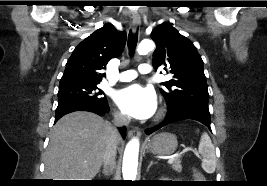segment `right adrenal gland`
Segmentation results:
<instances>
[{
    "label": "right adrenal gland",
    "mask_w": 267,
    "mask_h": 186,
    "mask_svg": "<svg viewBox=\"0 0 267 186\" xmlns=\"http://www.w3.org/2000/svg\"><path fill=\"white\" fill-rule=\"evenodd\" d=\"M109 173H111V172H109ZM109 173H106V171H103V174L104 175H109Z\"/></svg>",
    "instance_id": "2a0ac1e0"
}]
</instances>
